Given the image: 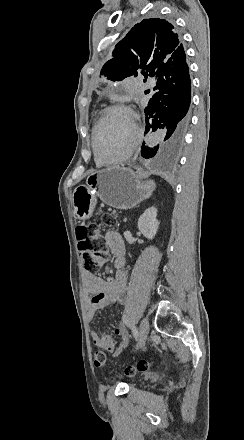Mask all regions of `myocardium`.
I'll return each instance as SVG.
<instances>
[{"instance_id":"obj_1","label":"myocardium","mask_w":244,"mask_h":440,"mask_svg":"<svg viewBox=\"0 0 244 440\" xmlns=\"http://www.w3.org/2000/svg\"><path fill=\"white\" fill-rule=\"evenodd\" d=\"M117 110L133 115L132 111L127 106H125L123 104L112 105L104 110L101 122H97V132L95 133V138H93L95 156L98 160H100L104 163L119 164V163L125 162L129 158V154H125L122 156H118L117 158H113L111 153L104 155V154L100 153V151L98 150V147L100 145L99 144L100 143V135H101L100 133L103 132L102 126H103V124H106L110 113L113 111H117ZM130 141H132V138L129 139L128 141L124 142L122 145H119V144L116 145L115 149L123 146L124 144H126Z\"/></svg>"}]
</instances>
